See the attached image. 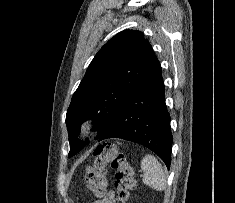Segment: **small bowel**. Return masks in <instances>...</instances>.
Masks as SVG:
<instances>
[{
	"mask_svg": "<svg viewBox=\"0 0 235 203\" xmlns=\"http://www.w3.org/2000/svg\"><path fill=\"white\" fill-rule=\"evenodd\" d=\"M115 194L113 191L107 192L103 198L95 201L94 203H114Z\"/></svg>",
	"mask_w": 235,
	"mask_h": 203,
	"instance_id": "obj_1",
	"label": "small bowel"
}]
</instances>
